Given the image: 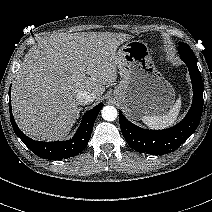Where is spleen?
<instances>
[{
	"mask_svg": "<svg viewBox=\"0 0 212 212\" xmlns=\"http://www.w3.org/2000/svg\"><path fill=\"white\" fill-rule=\"evenodd\" d=\"M181 110V98L176 100V103L171 107L167 114L157 116H143L142 122L153 129H163L172 126L180 113Z\"/></svg>",
	"mask_w": 212,
	"mask_h": 212,
	"instance_id": "spleen-1",
	"label": "spleen"
}]
</instances>
